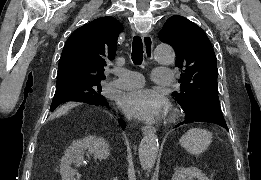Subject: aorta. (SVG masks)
I'll use <instances>...</instances> for the list:
<instances>
[{"label":"aorta","mask_w":261,"mask_h":180,"mask_svg":"<svg viewBox=\"0 0 261 180\" xmlns=\"http://www.w3.org/2000/svg\"><path fill=\"white\" fill-rule=\"evenodd\" d=\"M154 58L162 64H169L174 61L175 54L168 45H158L154 51ZM159 150L158 137L154 133L146 135L139 145V161L144 170H151L155 164Z\"/></svg>","instance_id":"762f6f07"}]
</instances>
